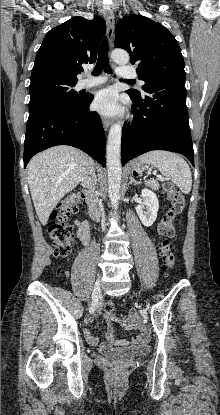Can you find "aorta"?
Returning <instances> with one entry per match:
<instances>
[{
    "instance_id": "762f6f07",
    "label": "aorta",
    "mask_w": 220,
    "mask_h": 415,
    "mask_svg": "<svg viewBox=\"0 0 220 415\" xmlns=\"http://www.w3.org/2000/svg\"><path fill=\"white\" fill-rule=\"evenodd\" d=\"M112 60L119 65H126L129 62V54L122 49H115L111 54ZM121 134L120 123L111 126L107 139L106 162L108 171V196L113 209L118 208L121 185Z\"/></svg>"
}]
</instances>
